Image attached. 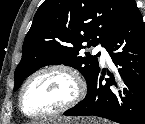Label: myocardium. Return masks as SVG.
Listing matches in <instances>:
<instances>
[{
  "label": "myocardium",
  "mask_w": 145,
  "mask_h": 124,
  "mask_svg": "<svg viewBox=\"0 0 145 124\" xmlns=\"http://www.w3.org/2000/svg\"><path fill=\"white\" fill-rule=\"evenodd\" d=\"M54 71L65 73L73 80L75 84L74 95L67 102H65L63 105L59 106L56 109L49 110L42 113H28L24 109V105H23V97L26 89L40 75L47 72H54ZM85 93H86V85L82 80V78L80 77V75L73 68L63 64H52L36 70L33 74H31L27 78V80L24 82L19 92L18 103H19L20 111L24 116L31 119H42V118L56 116L68 111L83 99Z\"/></svg>",
  "instance_id": "myocardium-1"
}]
</instances>
